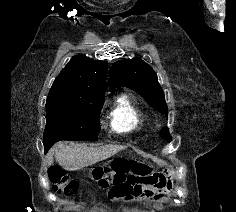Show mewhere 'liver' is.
Segmentation results:
<instances>
[{
    "label": "liver",
    "instance_id": "liver-1",
    "mask_svg": "<svg viewBox=\"0 0 236 212\" xmlns=\"http://www.w3.org/2000/svg\"><path fill=\"white\" fill-rule=\"evenodd\" d=\"M125 147L120 145H105L97 148L85 144L66 145L57 143L47 155V164H53V155L65 170L76 171L105 160Z\"/></svg>",
    "mask_w": 236,
    "mask_h": 212
}]
</instances>
